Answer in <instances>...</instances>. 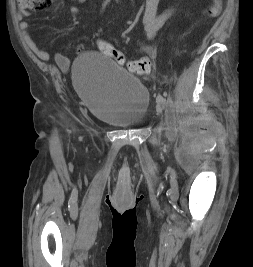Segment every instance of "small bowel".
<instances>
[{
    "mask_svg": "<svg viewBox=\"0 0 253 267\" xmlns=\"http://www.w3.org/2000/svg\"><path fill=\"white\" fill-rule=\"evenodd\" d=\"M77 2L78 4H83L87 0H73ZM160 0H146L145 5V11L143 14V24L144 28L147 32L148 37H153L157 31L174 15L175 10L169 9L164 11L161 14H158V5ZM80 11V7L78 5H73L70 8V12L72 14H77ZM20 29L23 33L24 40L28 47L41 59L48 60L49 54L48 52L40 47L32 38V36L29 33L30 25L26 21H22L20 23ZM84 51L83 45L77 46V52L82 53ZM56 61L61 66H66L68 64V61L60 54L56 55Z\"/></svg>",
    "mask_w": 253,
    "mask_h": 267,
    "instance_id": "1",
    "label": "small bowel"
}]
</instances>
